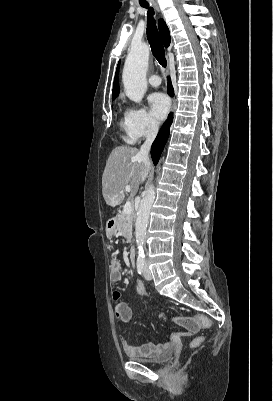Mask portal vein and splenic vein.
Returning <instances> with one entry per match:
<instances>
[{
	"instance_id": "1",
	"label": "portal vein and splenic vein",
	"mask_w": 273,
	"mask_h": 401,
	"mask_svg": "<svg viewBox=\"0 0 273 401\" xmlns=\"http://www.w3.org/2000/svg\"><path fill=\"white\" fill-rule=\"evenodd\" d=\"M125 190H127V192H130L131 190L130 184H126ZM131 211H132L131 203H126V205H124L123 213H125V215H130Z\"/></svg>"
}]
</instances>
